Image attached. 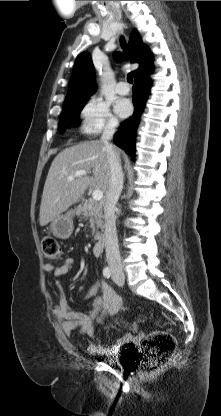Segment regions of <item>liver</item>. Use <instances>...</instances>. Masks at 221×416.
Returning a JSON list of instances; mask_svg holds the SVG:
<instances>
[{
  "label": "liver",
  "mask_w": 221,
  "mask_h": 416,
  "mask_svg": "<svg viewBox=\"0 0 221 416\" xmlns=\"http://www.w3.org/2000/svg\"><path fill=\"white\" fill-rule=\"evenodd\" d=\"M115 149L120 157L121 150L116 147ZM79 170L92 172L93 176L68 180L70 175ZM109 179L107 153L100 140L86 141L65 148L54 158L45 181L39 213L40 225H47L78 202L91 185L96 184L106 194Z\"/></svg>",
  "instance_id": "liver-1"
}]
</instances>
